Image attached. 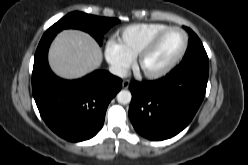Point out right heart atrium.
<instances>
[{"mask_svg": "<svg viewBox=\"0 0 248 165\" xmlns=\"http://www.w3.org/2000/svg\"><path fill=\"white\" fill-rule=\"evenodd\" d=\"M105 58L114 74L124 76L131 66L132 59L127 56L115 41H109L104 50Z\"/></svg>", "mask_w": 248, "mask_h": 165, "instance_id": "obj_1", "label": "right heart atrium"}]
</instances>
